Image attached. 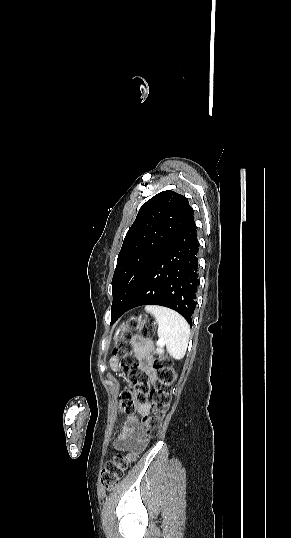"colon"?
I'll list each match as a JSON object with an SVG mask.
<instances>
[{
  "mask_svg": "<svg viewBox=\"0 0 291 538\" xmlns=\"http://www.w3.org/2000/svg\"><path fill=\"white\" fill-rule=\"evenodd\" d=\"M134 330L142 337L148 338L154 333V325L148 319L131 322ZM131 333L124 337L129 339ZM114 355L119 359L120 368L127 374L132 384V390L120 393L119 410L122 414L131 415L135 409L143 405L148 397L152 400V414L143 417V428L147 436L155 437L159 434L161 422L171 402V388L175 380V371L162 357L153 356V368L156 379L152 386L149 376L143 367L142 358L132 353L131 345L127 342L119 344L114 349ZM126 469L122 455L117 454L112 460L106 462L101 483L106 489H113L123 477Z\"/></svg>",
  "mask_w": 291,
  "mask_h": 538,
  "instance_id": "5ec220e1",
  "label": "colon"
}]
</instances>
